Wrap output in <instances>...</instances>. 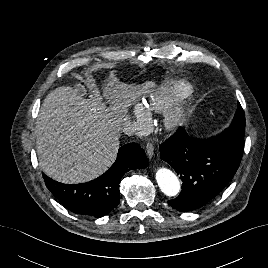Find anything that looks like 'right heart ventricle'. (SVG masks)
Listing matches in <instances>:
<instances>
[{"label":"right heart ventricle","instance_id":"1","mask_svg":"<svg viewBox=\"0 0 268 268\" xmlns=\"http://www.w3.org/2000/svg\"><path fill=\"white\" fill-rule=\"evenodd\" d=\"M189 89V83L179 80L169 87L151 91L150 95L145 99L144 104L147 106L150 113L165 112L175 105Z\"/></svg>","mask_w":268,"mask_h":268}]
</instances>
